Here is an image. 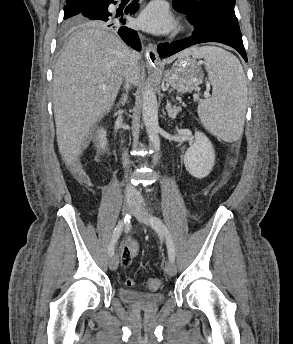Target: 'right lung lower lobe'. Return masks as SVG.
I'll list each match as a JSON object with an SVG mask.
<instances>
[{
  "instance_id": "right-lung-lower-lobe-1",
  "label": "right lung lower lobe",
  "mask_w": 293,
  "mask_h": 344,
  "mask_svg": "<svg viewBox=\"0 0 293 344\" xmlns=\"http://www.w3.org/2000/svg\"><path fill=\"white\" fill-rule=\"evenodd\" d=\"M111 3H115L113 0H94L88 4V6L80 13V15L88 20H101L106 23L105 26L113 28L117 31L119 36L132 48L140 50V41L138 34L135 30L128 28L125 25V19L119 16H112L108 11V7ZM138 8L137 3H132L127 6L125 13L129 11L133 14Z\"/></svg>"
}]
</instances>
